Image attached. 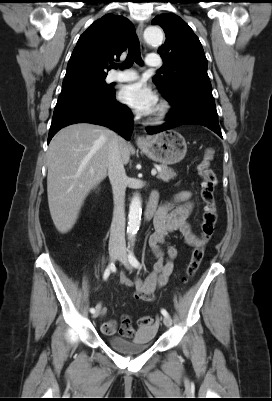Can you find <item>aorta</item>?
<instances>
[{"label":"aorta","mask_w":272,"mask_h":401,"mask_svg":"<svg viewBox=\"0 0 272 401\" xmlns=\"http://www.w3.org/2000/svg\"><path fill=\"white\" fill-rule=\"evenodd\" d=\"M144 38L146 42L151 45H160L162 44L164 38L163 31L160 27L157 26L147 27L144 31ZM141 214V199L138 195H134L129 205L128 214L127 232L130 237H133L139 230V226L141 223Z\"/></svg>","instance_id":"obj_1"}]
</instances>
